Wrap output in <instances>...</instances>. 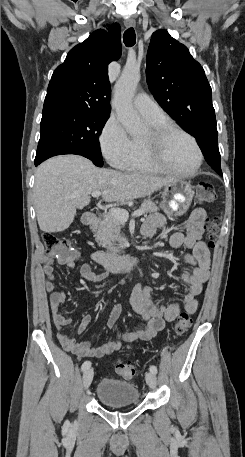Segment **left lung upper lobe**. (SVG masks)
<instances>
[{"instance_id": "1", "label": "left lung upper lobe", "mask_w": 245, "mask_h": 457, "mask_svg": "<svg viewBox=\"0 0 245 457\" xmlns=\"http://www.w3.org/2000/svg\"><path fill=\"white\" fill-rule=\"evenodd\" d=\"M146 76L156 101L186 132L195 137L216 127L211 87L203 68L166 30L152 35Z\"/></svg>"}]
</instances>
